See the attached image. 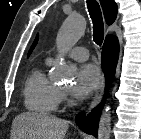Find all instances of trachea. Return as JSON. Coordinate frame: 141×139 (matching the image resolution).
Returning a JSON list of instances; mask_svg holds the SVG:
<instances>
[{
  "label": "trachea",
  "mask_w": 141,
  "mask_h": 139,
  "mask_svg": "<svg viewBox=\"0 0 141 139\" xmlns=\"http://www.w3.org/2000/svg\"><path fill=\"white\" fill-rule=\"evenodd\" d=\"M88 11L93 21V39L100 46L104 39V24L100 6L95 0H87Z\"/></svg>",
  "instance_id": "trachea-1"
}]
</instances>
